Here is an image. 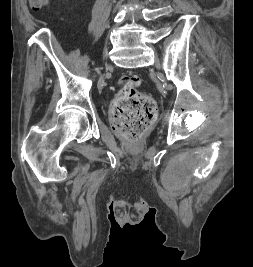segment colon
Wrapping results in <instances>:
<instances>
[{"label": "colon", "mask_w": 253, "mask_h": 267, "mask_svg": "<svg viewBox=\"0 0 253 267\" xmlns=\"http://www.w3.org/2000/svg\"><path fill=\"white\" fill-rule=\"evenodd\" d=\"M47 3L48 0H30L31 7L36 11ZM140 83L137 75L122 76L121 89L113 102L111 112L113 129L132 144L137 143L144 135L156 112L155 101L138 90Z\"/></svg>", "instance_id": "5ec220e1"}]
</instances>
